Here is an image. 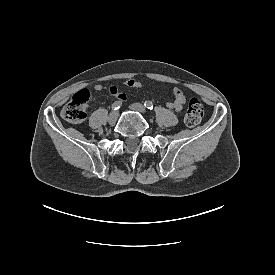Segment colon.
<instances>
[{
	"label": "colon",
	"instance_id": "5ec220e1",
	"mask_svg": "<svg viewBox=\"0 0 275 275\" xmlns=\"http://www.w3.org/2000/svg\"><path fill=\"white\" fill-rule=\"evenodd\" d=\"M90 99V92L82 89L76 92L72 99L64 105L62 117L71 123H81L86 118V105ZM204 116L203 104L196 98L190 100L185 113V123L192 127L197 125Z\"/></svg>",
	"mask_w": 275,
	"mask_h": 275
}]
</instances>
